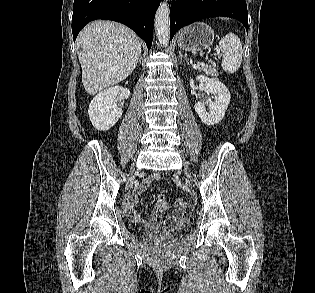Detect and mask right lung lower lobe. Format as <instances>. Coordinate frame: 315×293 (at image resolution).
<instances>
[{
    "label": "right lung lower lobe",
    "mask_w": 315,
    "mask_h": 293,
    "mask_svg": "<svg viewBox=\"0 0 315 293\" xmlns=\"http://www.w3.org/2000/svg\"><path fill=\"white\" fill-rule=\"evenodd\" d=\"M160 0H74L73 39L90 21L114 20L131 28L148 47L152 45L154 17Z\"/></svg>",
    "instance_id": "right-lung-lower-lobe-1"
}]
</instances>
